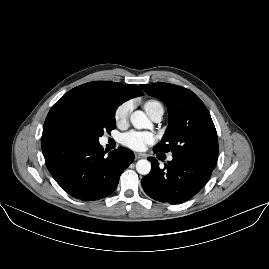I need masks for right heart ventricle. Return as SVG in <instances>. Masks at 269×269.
<instances>
[{
  "label": "right heart ventricle",
  "instance_id": "1",
  "mask_svg": "<svg viewBox=\"0 0 269 269\" xmlns=\"http://www.w3.org/2000/svg\"><path fill=\"white\" fill-rule=\"evenodd\" d=\"M158 104H160V103L156 100H147L144 104V109L146 112H148L151 108H153L154 106H156Z\"/></svg>",
  "mask_w": 269,
  "mask_h": 269
}]
</instances>
